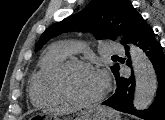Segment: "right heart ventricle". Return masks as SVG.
Wrapping results in <instances>:
<instances>
[{"label":"right heart ventricle","instance_id":"right-heart-ventricle-1","mask_svg":"<svg viewBox=\"0 0 165 120\" xmlns=\"http://www.w3.org/2000/svg\"><path fill=\"white\" fill-rule=\"evenodd\" d=\"M66 60V54L59 49L47 52L29 82L31 102L38 107L53 106L61 100L53 93L50 82L53 72Z\"/></svg>","mask_w":165,"mask_h":120}]
</instances>
